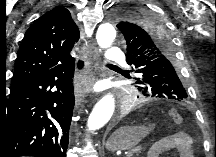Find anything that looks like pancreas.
Returning <instances> with one entry per match:
<instances>
[{
	"instance_id": "1",
	"label": "pancreas",
	"mask_w": 216,
	"mask_h": 157,
	"mask_svg": "<svg viewBox=\"0 0 216 157\" xmlns=\"http://www.w3.org/2000/svg\"><path fill=\"white\" fill-rule=\"evenodd\" d=\"M139 151H140V149L134 150V151L130 152L127 156L128 157H133V154L136 153V152H139Z\"/></svg>"
}]
</instances>
